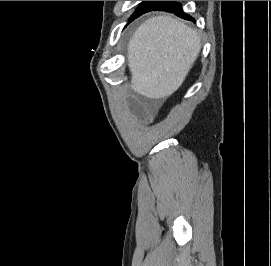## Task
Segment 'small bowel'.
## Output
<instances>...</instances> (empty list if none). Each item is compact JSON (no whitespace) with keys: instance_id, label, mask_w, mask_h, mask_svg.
<instances>
[{"instance_id":"obj_1","label":"small bowel","mask_w":271,"mask_h":266,"mask_svg":"<svg viewBox=\"0 0 271 266\" xmlns=\"http://www.w3.org/2000/svg\"><path fill=\"white\" fill-rule=\"evenodd\" d=\"M137 108L140 109L143 114L149 116L155 112V110L157 109V104L155 102H148L140 105Z\"/></svg>"}]
</instances>
